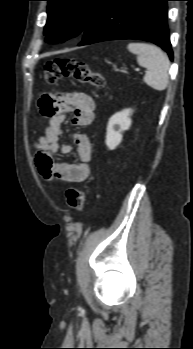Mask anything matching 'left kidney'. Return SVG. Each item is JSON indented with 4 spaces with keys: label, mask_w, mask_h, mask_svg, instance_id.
Instances as JSON below:
<instances>
[{
    "label": "left kidney",
    "mask_w": 193,
    "mask_h": 349,
    "mask_svg": "<svg viewBox=\"0 0 193 349\" xmlns=\"http://www.w3.org/2000/svg\"><path fill=\"white\" fill-rule=\"evenodd\" d=\"M132 109H125L115 113L108 122L106 132V145L110 150L115 149L122 141V133L131 126Z\"/></svg>",
    "instance_id": "1"
}]
</instances>
